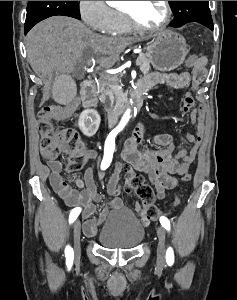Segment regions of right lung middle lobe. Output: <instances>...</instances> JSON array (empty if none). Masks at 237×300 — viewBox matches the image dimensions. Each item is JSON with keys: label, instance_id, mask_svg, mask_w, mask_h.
Returning <instances> with one entry per match:
<instances>
[{"label": "right lung middle lobe", "instance_id": "dd1d6c3e", "mask_svg": "<svg viewBox=\"0 0 237 300\" xmlns=\"http://www.w3.org/2000/svg\"><path fill=\"white\" fill-rule=\"evenodd\" d=\"M78 1H28L25 26H34L51 16L63 15L80 19Z\"/></svg>", "mask_w": 237, "mask_h": 300}]
</instances>
